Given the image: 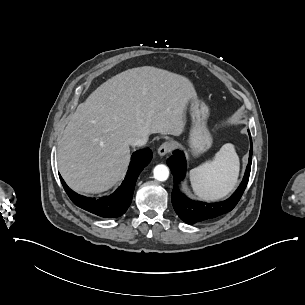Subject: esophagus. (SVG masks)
<instances>
[{"instance_id": "1", "label": "esophagus", "mask_w": 305, "mask_h": 305, "mask_svg": "<svg viewBox=\"0 0 305 305\" xmlns=\"http://www.w3.org/2000/svg\"><path fill=\"white\" fill-rule=\"evenodd\" d=\"M171 150V144L169 142H164L160 147L158 148V154L160 156H164Z\"/></svg>"}]
</instances>
